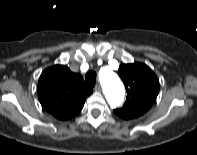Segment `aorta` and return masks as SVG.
<instances>
[{
    "label": "aorta",
    "instance_id": "762f6f07",
    "mask_svg": "<svg viewBox=\"0 0 197 155\" xmlns=\"http://www.w3.org/2000/svg\"><path fill=\"white\" fill-rule=\"evenodd\" d=\"M99 80L109 105L112 108L119 106L124 99V86L119 77L111 69L103 68Z\"/></svg>",
    "mask_w": 197,
    "mask_h": 155
}]
</instances>
